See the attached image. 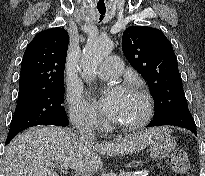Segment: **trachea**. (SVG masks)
Here are the masks:
<instances>
[{
    "instance_id": "3493384b",
    "label": "trachea",
    "mask_w": 205,
    "mask_h": 176,
    "mask_svg": "<svg viewBox=\"0 0 205 176\" xmlns=\"http://www.w3.org/2000/svg\"><path fill=\"white\" fill-rule=\"evenodd\" d=\"M99 13H100L99 20L102 21L103 18H104V15H105V13H106V10H99Z\"/></svg>"
}]
</instances>
